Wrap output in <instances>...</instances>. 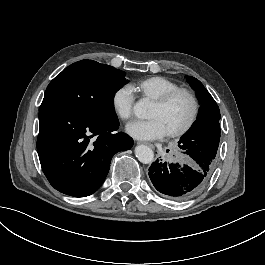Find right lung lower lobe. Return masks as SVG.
<instances>
[{
	"label": "right lung lower lobe",
	"mask_w": 265,
	"mask_h": 265,
	"mask_svg": "<svg viewBox=\"0 0 265 265\" xmlns=\"http://www.w3.org/2000/svg\"><path fill=\"white\" fill-rule=\"evenodd\" d=\"M37 151L42 170L58 191L75 197L94 193L104 182L113 155L133 140L113 134L119 122L93 119L66 107L41 105Z\"/></svg>",
	"instance_id": "right-lung-lower-lobe-1"
}]
</instances>
